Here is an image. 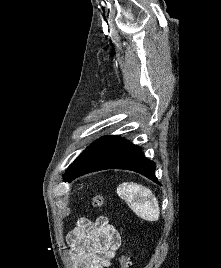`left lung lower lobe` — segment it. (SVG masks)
I'll use <instances>...</instances> for the list:
<instances>
[{
	"label": "left lung lower lobe",
	"mask_w": 221,
	"mask_h": 268,
	"mask_svg": "<svg viewBox=\"0 0 221 268\" xmlns=\"http://www.w3.org/2000/svg\"><path fill=\"white\" fill-rule=\"evenodd\" d=\"M126 169L138 172L159 184L155 164L142 155L140 147L118 136H106L88 146L69 166L64 181L81 175L104 170Z\"/></svg>",
	"instance_id": "1"
}]
</instances>
